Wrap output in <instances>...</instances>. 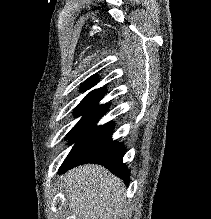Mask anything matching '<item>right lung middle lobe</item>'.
<instances>
[{"mask_svg":"<svg viewBox=\"0 0 211 219\" xmlns=\"http://www.w3.org/2000/svg\"><path fill=\"white\" fill-rule=\"evenodd\" d=\"M108 105H98V102L84 100L74 110V116H82L80 121L68 133L71 143H75L72 150L98 127L96 123L108 110Z\"/></svg>","mask_w":211,"mask_h":219,"instance_id":"right-lung-middle-lobe-1","label":"right lung middle lobe"}]
</instances>
